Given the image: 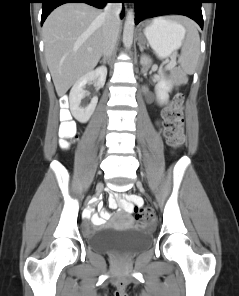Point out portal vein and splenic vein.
Returning a JSON list of instances; mask_svg holds the SVG:
<instances>
[{
  "label": "portal vein and splenic vein",
  "mask_w": 239,
  "mask_h": 296,
  "mask_svg": "<svg viewBox=\"0 0 239 296\" xmlns=\"http://www.w3.org/2000/svg\"><path fill=\"white\" fill-rule=\"evenodd\" d=\"M174 65V62H170L168 65H167V68H172Z\"/></svg>",
  "instance_id": "1"
}]
</instances>
